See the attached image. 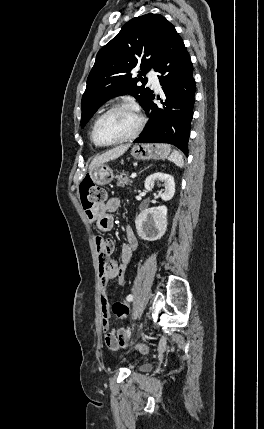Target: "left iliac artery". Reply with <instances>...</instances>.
Returning a JSON list of instances; mask_svg holds the SVG:
<instances>
[{
	"mask_svg": "<svg viewBox=\"0 0 264 429\" xmlns=\"http://www.w3.org/2000/svg\"><path fill=\"white\" fill-rule=\"evenodd\" d=\"M132 300H133V295H128L127 296V301H132ZM127 332H128V336H130L131 332H130L129 329L127 330Z\"/></svg>",
	"mask_w": 264,
	"mask_h": 429,
	"instance_id": "44dca946",
	"label": "left iliac artery"
}]
</instances>
